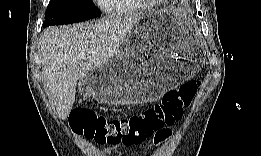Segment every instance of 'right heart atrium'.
<instances>
[{"mask_svg": "<svg viewBox=\"0 0 261 156\" xmlns=\"http://www.w3.org/2000/svg\"><path fill=\"white\" fill-rule=\"evenodd\" d=\"M99 4L105 8H107V0H101L99 1Z\"/></svg>", "mask_w": 261, "mask_h": 156, "instance_id": "obj_1", "label": "right heart atrium"}]
</instances>
